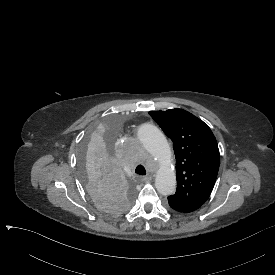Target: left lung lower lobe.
<instances>
[{"label": "left lung lower lobe", "mask_w": 275, "mask_h": 275, "mask_svg": "<svg viewBox=\"0 0 275 275\" xmlns=\"http://www.w3.org/2000/svg\"><path fill=\"white\" fill-rule=\"evenodd\" d=\"M171 209H172V208H171ZM172 210L177 211V210H175V209H172ZM178 212H180V211H178Z\"/></svg>", "instance_id": "left-lung-lower-lobe-1"}]
</instances>
